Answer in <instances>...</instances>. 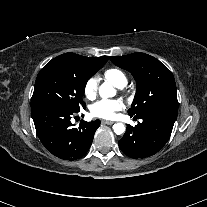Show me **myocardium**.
<instances>
[{
  "label": "myocardium",
  "instance_id": "myocardium-1",
  "mask_svg": "<svg viewBox=\"0 0 207 207\" xmlns=\"http://www.w3.org/2000/svg\"><path fill=\"white\" fill-rule=\"evenodd\" d=\"M127 97H128L129 99H131V96H130V95H128Z\"/></svg>",
  "mask_w": 207,
  "mask_h": 207
}]
</instances>
